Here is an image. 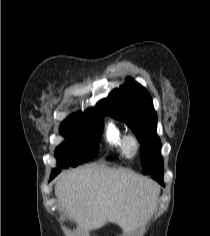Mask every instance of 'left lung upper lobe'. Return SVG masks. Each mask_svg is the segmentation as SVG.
Instances as JSON below:
<instances>
[{"mask_svg": "<svg viewBox=\"0 0 210 236\" xmlns=\"http://www.w3.org/2000/svg\"><path fill=\"white\" fill-rule=\"evenodd\" d=\"M105 113L129 124L141 146L142 172L151 174L161 166V143L156 133L157 114L147 90L130 80L109 94Z\"/></svg>", "mask_w": 210, "mask_h": 236, "instance_id": "5c2ea615", "label": "left lung upper lobe"}]
</instances>
